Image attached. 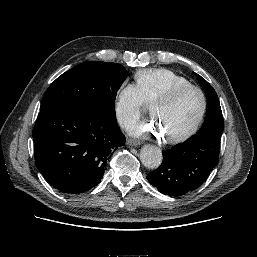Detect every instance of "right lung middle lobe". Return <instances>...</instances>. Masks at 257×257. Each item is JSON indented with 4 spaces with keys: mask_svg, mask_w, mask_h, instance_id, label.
Instances as JSON below:
<instances>
[{
    "mask_svg": "<svg viewBox=\"0 0 257 257\" xmlns=\"http://www.w3.org/2000/svg\"><path fill=\"white\" fill-rule=\"evenodd\" d=\"M117 63L88 61L59 76L46 90L40 111L64 104L88 105L115 115L117 91L128 76Z\"/></svg>",
    "mask_w": 257,
    "mask_h": 257,
    "instance_id": "obj_1",
    "label": "right lung middle lobe"
}]
</instances>
